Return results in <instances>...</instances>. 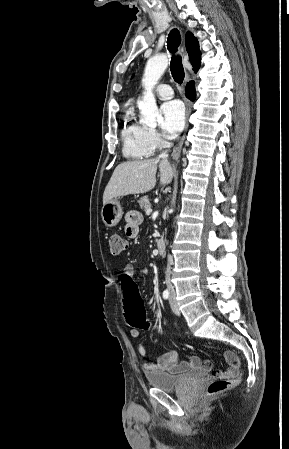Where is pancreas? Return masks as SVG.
Here are the masks:
<instances>
[{
  "label": "pancreas",
  "instance_id": "1",
  "mask_svg": "<svg viewBox=\"0 0 289 449\" xmlns=\"http://www.w3.org/2000/svg\"><path fill=\"white\" fill-rule=\"evenodd\" d=\"M139 206L142 210L146 211L147 209L151 208V203L149 201V198L147 196H144L140 198L138 201Z\"/></svg>",
  "mask_w": 289,
  "mask_h": 449
}]
</instances>
